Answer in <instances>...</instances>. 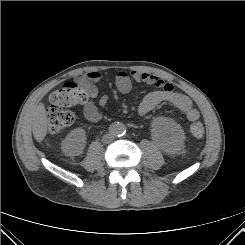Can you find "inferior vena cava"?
Here are the masks:
<instances>
[{
	"label": "inferior vena cava",
	"instance_id": "obj_1",
	"mask_svg": "<svg viewBox=\"0 0 245 245\" xmlns=\"http://www.w3.org/2000/svg\"><path fill=\"white\" fill-rule=\"evenodd\" d=\"M113 139H114V136L112 134H105L102 137V142L105 143V144H108V143L112 142Z\"/></svg>",
	"mask_w": 245,
	"mask_h": 245
}]
</instances>
